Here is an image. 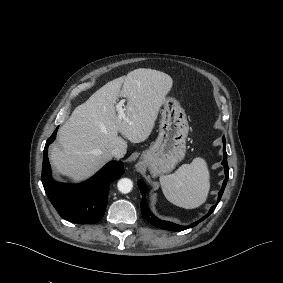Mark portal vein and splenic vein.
<instances>
[{
	"label": "portal vein and splenic vein",
	"instance_id": "18ae733b",
	"mask_svg": "<svg viewBox=\"0 0 283 283\" xmlns=\"http://www.w3.org/2000/svg\"><path fill=\"white\" fill-rule=\"evenodd\" d=\"M125 103V99H122L119 101V103L116 104V110L118 112V118L119 119H123L126 120L127 122H129V119L126 117L125 115V109L123 108V105Z\"/></svg>",
	"mask_w": 283,
	"mask_h": 283
}]
</instances>
